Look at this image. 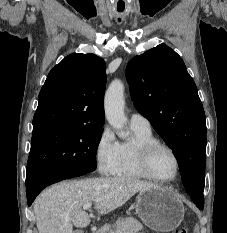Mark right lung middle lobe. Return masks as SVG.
Segmentation results:
<instances>
[{
    "instance_id": "right-lung-middle-lobe-1",
    "label": "right lung middle lobe",
    "mask_w": 227,
    "mask_h": 233,
    "mask_svg": "<svg viewBox=\"0 0 227 233\" xmlns=\"http://www.w3.org/2000/svg\"><path fill=\"white\" fill-rule=\"evenodd\" d=\"M102 126H59L33 133L26 184L60 171L92 172Z\"/></svg>"
}]
</instances>
